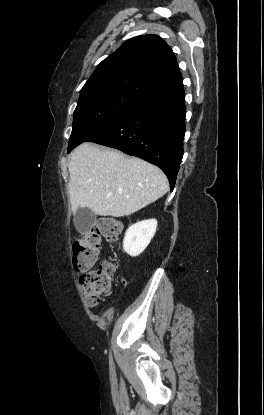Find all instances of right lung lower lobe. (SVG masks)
<instances>
[{
    "label": "right lung lower lobe",
    "mask_w": 264,
    "mask_h": 415,
    "mask_svg": "<svg viewBox=\"0 0 264 415\" xmlns=\"http://www.w3.org/2000/svg\"><path fill=\"white\" fill-rule=\"evenodd\" d=\"M183 83L143 98L87 141L116 148L159 166L173 190L183 157Z\"/></svg>",
    "instance_id": "98d812e1"
}]
</instances>
